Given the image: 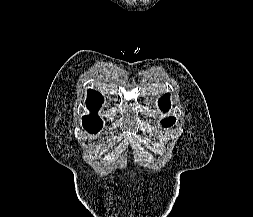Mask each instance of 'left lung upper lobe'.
Masks as SVG:
<instances>
[{
	"label": "left lung upper lobe",
	"mask_w": 253,
	"mask_h": 217,
	"mask_svg": "<svg viewBox=\"0 0 253 217\" xmlns=\"http://www.w3.org/2000/svg\"><path fill=\"white\" fill-rule=\"evenodd\" d=\"M159 107L164 112H167L170 108V94L167 93L159 99ZM175 117H169L163 121L164 127H170L175 123Z\"/></svg>",
	"instance_id": "5c2ea615"
}]
</instances>
